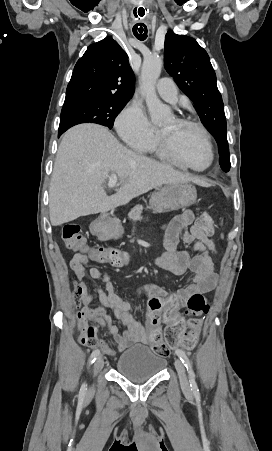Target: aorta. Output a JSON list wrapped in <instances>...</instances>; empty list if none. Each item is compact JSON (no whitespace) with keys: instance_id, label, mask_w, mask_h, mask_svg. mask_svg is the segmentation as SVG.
Wrapping results in <instances>:
<instances>
[{"instance_id":"1","label":"aorta","mask_w":272,"mask_h":451,"mask_svg":"<svg viewBox=\"0 0 272 451\" xmlns=\"http://www.w3.org/2000/svg\"><path fill=\"white\" fill-rule=\"evenodd\" d=\"M162 66L163 58H160L158 54H154V56L144 58L141 70L142 86L144 88L146 104L153 124H161L167 116L165 106L162 104L161 100H159L155 90L156 80H158L161 74Z\"/></svg>"}]
</instances>
